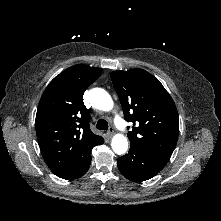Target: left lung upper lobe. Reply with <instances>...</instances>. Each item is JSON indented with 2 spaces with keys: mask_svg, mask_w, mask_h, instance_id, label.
I'll return each instance as SVG.
<instances>
[{
  "mask_svg": "<svg viewBox=\"0 0 221 221\" xmlns=\"http://www.w3.org/2000/svg\"><path fill=\"white\" fill-rule=\"evenodd\" d=\"M111 80L124 118L133 123L130 146L162 159H170L179 134L175 103L163 85L143 69L114 71Z\"/></svg>",
  "mask_w": 221,
  "mask_h": 221,
  "instance_id": "1",
  "label": "left lung upper lobe"
}]
</instances>
